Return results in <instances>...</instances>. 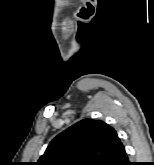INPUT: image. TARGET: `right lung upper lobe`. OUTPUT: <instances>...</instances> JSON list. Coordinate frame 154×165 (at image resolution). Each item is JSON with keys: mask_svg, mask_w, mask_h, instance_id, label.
<instances>
[{"mask_svg": "<svg viewBox=\"0 0 154 165\" xmlns=\"http://www.w3.org/2000/svg\"><path fill=\"white\" fill-rule=\"evenodd\" d=\"M119 143L105 122L84 119L57 135L36 165H108Z\"/></svg>", "mask_w": 154, "mask_h": 165, "instance_id": "cb5924a9", "label": "right lung upper lobe"}]
</instances>
